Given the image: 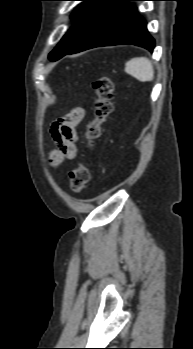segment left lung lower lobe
Returning a JSON list of instances; mask_svg holds the SVG:
<instances>
[{
    "label": "left lung lower lobe",
    "mask_w": 193,
    "mask_h": 349,
    "mask_svg": "<svg viewBox=\"0 0 193 349\" xmlns=\"http://www.w3.org/2000/svg\"><path fill=\"white\" fill-rule=\"evenodd\" d=\"M127 1L141 0H111L86 29L78 42L53 61L66 54H73L94 47L120 44H134L152 52L154 40L147 31L146 22Z\"/></svg>",
    "instance_id": "left-lung-lower-lobe-1"
}]
</instances>
